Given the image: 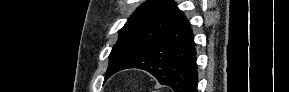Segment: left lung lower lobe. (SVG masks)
I'll list each match as a JSON object with an SVG mask.
<instances>
[{
    "label": "left lung lower lobe",
    "instance_id": "obj_1",
    "mask_svg": "<svg viewBox=\"0 0 289 92\" xmlns=\"http://www.w3.org/2000/svg\"><path fill=\"white\" fill-rule=\"evenodd\" d=\"M127 68L148 71L160 84L170 86L174 92H197L196 49L186 16L163 31L120 70Z\"/></svg>",
    "mask_w": 289,
    "mask_h": 92
}]
</instances>
